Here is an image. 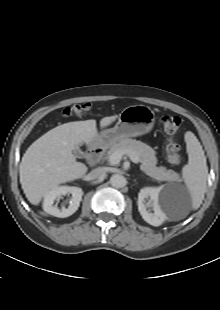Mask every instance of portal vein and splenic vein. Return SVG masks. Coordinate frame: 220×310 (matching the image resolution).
<instances>
[{"instance_id": "1", "label": "portal vein and splenic vein", "mask_w": 220, "mask_h": 310, "mask_svg": "<svg viewBox=\"0 0 220 310\" xmlns=\"http://www.w3.org/2000/svg\"><path fill=\"white\" fill-rule=\"evenodd\" d=\"M123 155H124V153L121 152V151H116V152H114V153L111 154L110 157H109V163H110L111 165H116V164H118V163L120 162V160L122 159V156H123ZM128 156H129V158L131 159L132 162H134V163H136V164H138V163L140 162L139 157H138L135 153L130 152V153L128 154Z\"/></svg>"}]
</instances>
